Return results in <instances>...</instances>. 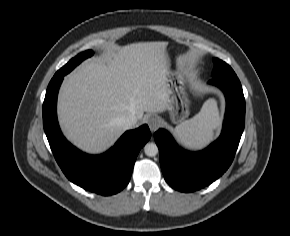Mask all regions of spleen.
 Segmentation results:
<instances>
[{
	"label": "spleen",
	"mask_w": 290,
	"mask_h": 236,
	"mask_svg": "<svg viewBox=\"0 0 290 236\" xmlns=\"http://www.w3.org/2000/svg\"><path fill=\"white\" fill-rule=\"evenodd\" d=\"M217 102L208 99L200 112L193 118L185 120L175 128L178 138L187 146L202 147L212 140L214 130L220 125Z\"/></svg>",
	"instance_id": "obj_1"
}]
</instances>
